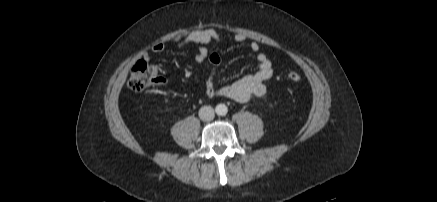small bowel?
I'll list each match as a JSON object with an SVG mask.
<instances>
[{
    "label": "small bowel",
    "instance_id": "small-bowel-1",
    "mask_svg": "<svg viewBox=\"0 0 437 202\" xmlns=\"http://www.w3.org/2000/svg\"><path fill=\"white\" fill-rule=\"evenodd\" d=\"M246 40L245 35L235 34L231 36H222L214 29L196 30L190 33L180 34L171 39L177 47H183L193 43L199 45L195 60L199 63L207 62L210 71L206 82V94L208 97H226L234 101L245 103L252 99L262 97L266 93V82L272 77L274 68L268 56L261 51L257 42H251L250 51L255 55L258 63L257 70L251 74L230 83L220 85L216 81L217 70L220 66L221 59L217 52L209 51L205 46L211 42H237L241 43ZM165 45L156 43L151 47V52L160 54L164 52ZM149 53L142 55L143 60H148Z\"/></svg>",
    "mask_w": 437,
    "mask_h": 202
}]
</instances>
